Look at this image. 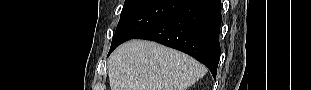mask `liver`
<instances>
[{"instance_id": "1", "label": "liver", "mask_w": 311, "mask_h": 90, "mask_svg": "<svg viewBox=\"0 0 311 90\" xmlns=\"http://www.w3.org/2000/svg\"><path fill=\"white\" fill-rule=\"evenodd\" d=\"M205 73L192 57L145 40L120 45L108 62L111 90H186Z\"/></svg>"}]
</instances>
